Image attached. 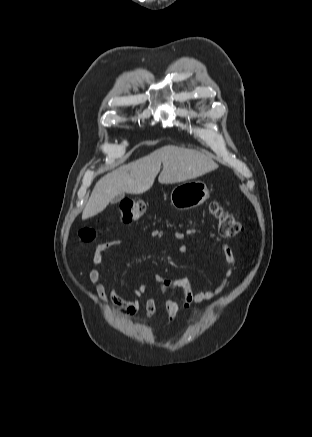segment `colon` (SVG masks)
Returning a JSON list of instances; mask_svg holds the SVG:
<instances>
[{
    "label": "colon",
    "mask_w": 312,
    "mask_h": 437,
    "mask_svg": "<svg viewBox=\"0 0 312 437\" xmlns=\"http://www.w3.org/2000/svg\"><path fill=\"white\" fill-rule=\"evenodd\" d=\"M209 209L215 216L223 237L232 238L243 231V224L217 203L210 204ZM145 211L146 203L142 199L124 198L119 204V220L123 223L134 222L143 216ZM95 236L96 230L92 227H85L79 231V239L84 242L93 240Z\"/></svg>",
    "instance_id": "1"
}]
</instances>
